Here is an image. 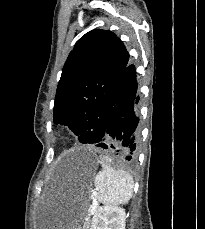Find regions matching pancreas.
I'll use <instances>...</instances> for the list:
<instances>
[{
  "instance_id": "obj_1",
  "label": "pancreas",
  "mask_w": 205,
  "mask_h": 229,
  "mask_svg": "<svg viewBox=\"0 0 205 229\" xmlns=\"http://www.w3.org/2000/svg\"><path fill=\"white\" fill-rule=\"evenodd\" d=\"M85 227H86V229H87V228L89 227V223H86V224H85Z\"/></svg>"
}]
</instances>
